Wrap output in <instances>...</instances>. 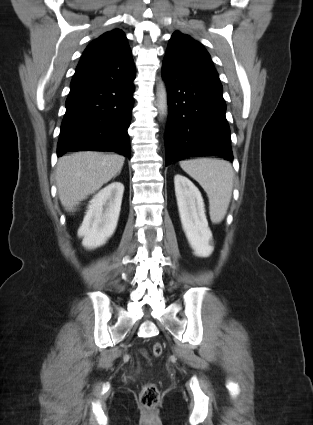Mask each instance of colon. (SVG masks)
Returning <instances> with one entry per match:
<instances>
[{
	"label": "colon",
	"instance_id": "5ec220e1",
	"mask_svg": "<svg viewBox=\"0 0 313 425\" xmlns=\"http://www.w3.org/2000/svg\"><path fill=\"white\" fill-rule=\"evenodd\" d=\"M163 352V346L160 343H155L152 346V353L155 357L161 356ZM160 401V393L157 386L153 383H147L142 387L140 393V404L149 412L154 411Z\"/></svg>",
	"mask_w": 313,
	"mask_h": 425
}]
</instances>
